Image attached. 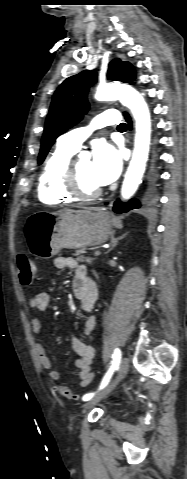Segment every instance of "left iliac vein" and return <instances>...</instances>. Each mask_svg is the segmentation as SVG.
<instances>
[{"mask_svg":"<svg viewBox=\"0 0 187 479\" xmlns=\"http://www.w3.org/2000/svg\"><path fill=\"white\" fill-rule=\"evenodd\" d=\"M129 369V360L127 357H123L120 365H119V370L116 375V377L109 382L106 387L94 398L89 400L84 404V409H90L94 405H96L102 398L106 397L109 393L112 392V390L116 387V385L126 376L127 372Z\"/></svg>","mask_w":187,"mask_h":479,"instance_id":"left-iliac-vein-1","label":"left iliac vein"}]
</instances>
